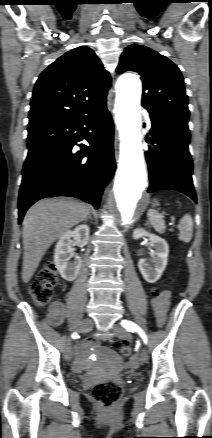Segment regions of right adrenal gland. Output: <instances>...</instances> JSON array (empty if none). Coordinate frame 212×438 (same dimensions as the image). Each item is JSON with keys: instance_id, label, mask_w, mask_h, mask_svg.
I'll return each mask as SVG.
<instances>
[{"instance_id": "2a0ac1e0", "label": "right adrenal gland", "mask_w": 212, "mask_h": 438, "mask_svg": "<svg viewBox=\"0 0 212 438\" xmlns=\"http://www.w3.org/2000/svg\"><path fill=\"white\" fill-rule=\"evenodd\" d=\"M88 219L92 220L91 212L89 213L88 217L85 219V222H87Z\"/></svg>"}]
</instances>
